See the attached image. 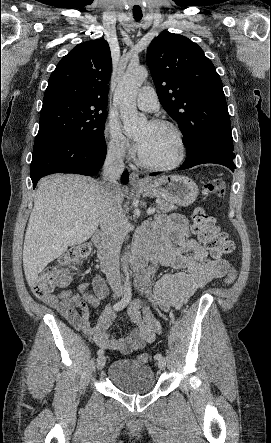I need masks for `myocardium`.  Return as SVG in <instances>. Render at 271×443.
<instances>
[{
    "mask_svg": "<svg viewBox=\"0 0 271 443\" xmlns=\"http://www.w3.org/2000/svg\"><path fill=\"white\" fill-rule=\"evenodd\" d=\"M149 124L153 125V126H164V127L171 128L177 135V138L179 141V146H180V152H179V155L176 158V160H174L171 163L163 164V165L149 162L139 152L138 159H139L140 164L144 168L152 170V171H168V170H172V169L180 166L185 161V159L187 157L186 138H185V135H184L183 131L181 130V128L177 124H175L174 122H171L169 120H164V119H154V120H151L149 122Z\"/></svg>",
    "mask_w": 271,
    "mask_h": 443,
    "instance_id": "obj_1",
    "label": "myocardium"
}]
</instances>
